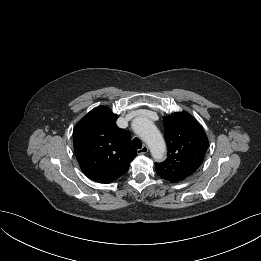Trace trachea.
Instances as JSON below:
<instances>
[{
  "mask_svg": "<svg viewBox=\"0 0 261 261\" xmlns=\"http://www.w3.org/2000/svg\"><path fill=\"white\" fill-rule=\"evenodd\" d=\"M132 145L133 147L140 149L142 147V142L139 138H134L132 140Z\"/></svg>",
  "mask_w": 261,
  "mask_h": 261,
  "instance_id": "obj_1",
  "label": "trachea"
}]
</instances>
